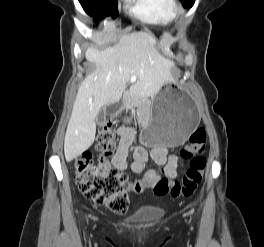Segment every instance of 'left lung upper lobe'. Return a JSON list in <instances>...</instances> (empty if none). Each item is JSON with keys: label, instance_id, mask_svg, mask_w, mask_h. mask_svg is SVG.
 I'll list each match as a JSON object with an SVG mask.
<instances>
[{"label": "left lung upper lobe", "instance_id": "left-lung-upper-lobe-1", "mask_svg": "<svg viewBox=\"0 0 264 247\" xmlns=\"http://www.w3.org/2000/svg\"><path fill=\"white\" fill-rule=\"evenodd\" d=\"M184 7L191 8L195 2V0H180Z\"/></svg>", "mask_w": 264, "mask_h": 247}]
</instances>
